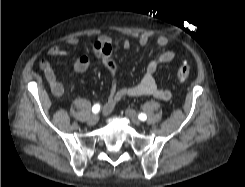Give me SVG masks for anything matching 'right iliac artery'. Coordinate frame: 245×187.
Here are the masks:
<instances>
[{
  "mask_svg": "<svg viewBox=\"0 0 245 187\" xmlns=\"http://www.w3.org/2000/svg\"><path fill=\"white\" fill-rule=\"evenodd\" d=\"M100 111V105L99 104H95L93 107H92V112L93 113H98Z\"/></svg>",
  "mask_w": 245,
  "mask_h": 187,
  "instance_id": "obj_1",
  "label": "right iliac artery"
}]
</instances>
